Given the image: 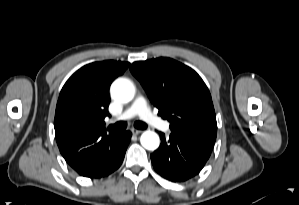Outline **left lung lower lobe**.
<instances>
[{
  "label": "left lung lower lobe",
  "instance_id": "1",
  "mask_svg": "<svg viewBox=\"0 0 299 205\" xmlns=\"http://www.w3.org/2000/svg\"><path fill=\"white\" fill-rule=\"evenodd\" d=\"M217 133L172 131L170 139L160 133V147L151 154L157 173L172 182H183L197 175L212 152Z\"/></svg>",
  "mask_w": 299,
  "mask_h": 205
}]
</instances>
